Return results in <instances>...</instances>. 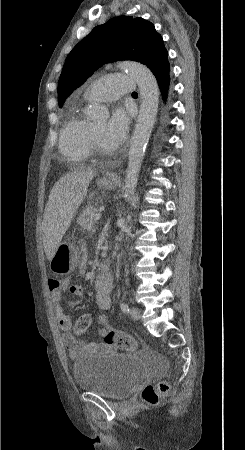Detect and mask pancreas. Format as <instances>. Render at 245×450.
<instances>
[{
    "mask_svg": "<svg viewBox=\"0 0 245 450\" xmlns=\"http://www.w3.org/2000/svg\"><path fill=\"white\" fill-rule=\"evenodd\" d=\"M97 212V209L94 206H88L83 212L80 214L77 223L85 230H90L94 226V217Z\"/></svg>",
    "mask_w": 245,
    "mask_h": 450,
    "instance_id": "obj_1",
    "label": "pancreas"
}]
</instances>
